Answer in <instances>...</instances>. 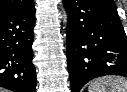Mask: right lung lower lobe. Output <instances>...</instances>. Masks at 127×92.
Masks as SVG:
<instances>
[{"mask_svg": "<svg viewBox=\"0 0 127 92\" xmlns=\"http://www.w3.org/2000/svg\"><path fill=\"white\" fill-rule=\"evenodd\" d=\"M34 4L0 15V86L14 92L36 91L32 63Z\"/></svg>", "mask_w": 127, "mask_h": 92, "instance_id": "right-lung-lower-lobe-1", "label": "right lung lower lobe"}]
</instances>
